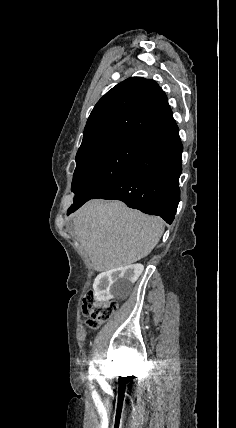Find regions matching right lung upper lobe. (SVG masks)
Wrapping results in <instances>:
<instances>
[{
  "instance_id": "obj_1",
  "label": "right lung upper lobe",
  "mask_w": 236,
  "mask_h": 428,
  "mask_svg": "<svg viewBox=\"0 0 236 428\" xmlns=\"http://www.w3.org/2000/svg\"><path fill=\"white\" fill-rule=\"evenodd\" d=\"M173 117L159 85L141 77L124 80L93 108L76 162L127 140H141Z\"/></svg>"
}]
</instances>
